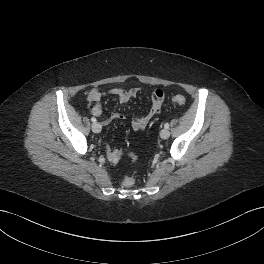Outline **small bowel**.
<instances>
[{"instance_id": "obj_1", "label": "small bowel", "mask_w": 264, "mask_h": 264, "mask_svg": "<svg viewBox=\"0 0 264 264\" xmlns=\"http://www.w3.org/2000/svg\"><path fill=\"white\" fill-rule=\"evenodd\" d=\"M140 92H141V88L139 87H134L129 90L121 89V88H113L109 91V94L116 97L120 103H127L130 99L134 98ZM91 94L92 92L90 91L88 93V98ZM100 99H101L100 94L98 93L94 94V97L91 100H93L95 103L89 106L90 113L96 117H100L102 114V105ZM164 100H165L164 92L161 89L154 90L152 93V104L149 111L141 117H135V116L132 117L131 125L133 129L140 130L145 128L149 123V121L152 119V117L161 112ZM123 119H125L124 115L114 112L103 121V124L108 125L114 120H123ZM114 152L116 154L121 153L120 151L117 150H115ZM107 157L108 160L112 163H117L121 159V157L114 159L111 157L109 153H107Z\"/></svg>"}]
</instances>
